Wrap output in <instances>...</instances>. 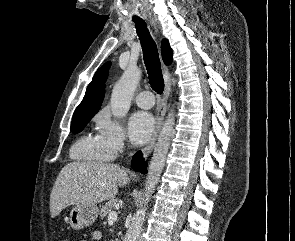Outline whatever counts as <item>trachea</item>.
<instances>
[{
	"instance_id": "1",
	"label": "trachea",
	"mask_w": 295,
	"mask_h": 241,
	"mask_svg": "<svg viewBox=\"0 0 295 241\" xmlns=\"http://www.w3.org/2000/svg\"><path fill=\"white\" fill-rule=\"evenodd\" d=\"M134 23L141 41L144 63L149 75V83L155 92L162 94L164 91V79L158 49L149 34L145 21L136 20Z\"/></svg>"
}]
</instances>
